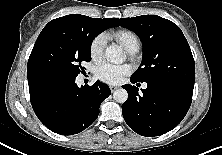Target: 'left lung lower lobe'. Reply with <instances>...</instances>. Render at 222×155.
<instances>
[{
    "label": "left lung lower lobe",
    "mask_w": 222,
    "mask_h": 155,
    "mask_svg": "<svg viewBox=\"0 0 222 155\" xmlns=\"http://www.w3.org/2000/svg\"><path fill=\"white\" fill-rule=\"evenodd\" d=\"M131 82H139L131 77ZM147 88L123 85L128 99L122 105V114L127 125L137 134L154 137L175 128L187 114L193 89L177 83L146 82Z\"/></svg>",
    "instance_id": "obj_1"
}]
</instances>
